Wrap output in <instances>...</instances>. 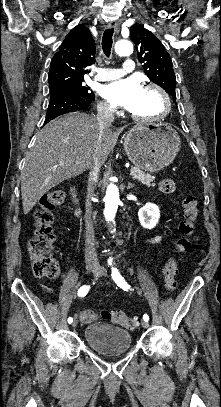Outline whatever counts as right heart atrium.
<instances>
[{"instance_id":"1","label":"right heart atrium","mask_w":221,"mask_h":407,"mask_svg":"<svg viewBox=\"0 0 221 407\" xmlns=\"http://www.w3.org/2000/svg\"><path fill=\"white\" fill-rule=\"evenodd\" d=\"M97 108L100 113H114L116 111L115 107L106 101L99 102Z\"/></svg>"}]
</instances>
